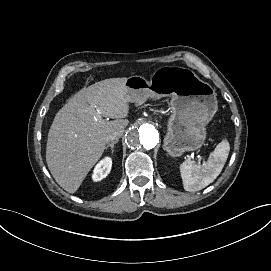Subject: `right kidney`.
<instances>
[{
    "instance_id": "ca27d5eb",
    "label": "right kidney",
    "mask_w": 271,
    "mask_h": 271,
    "mask_svg": "<svg viewBox=\"0 0 271 271\" xmlns=\"http://www.w3.org/2000/svg\"><path fill=\"white\" fill-rule=\"evenodd\" d=\"M112 161L110 158L102 160L95 168L93 179L95 181H100L105 178L111 169Z\"/></svg>"
}]
</instances>
